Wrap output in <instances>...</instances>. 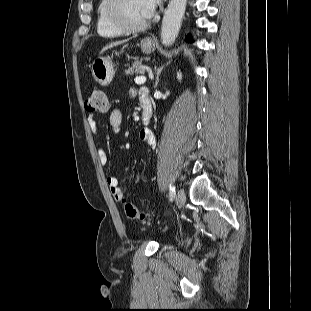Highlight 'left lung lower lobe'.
<instances>
[{
    "label": "left lung lower lobe",
    "mask_w": 311,
    "mask_h": 311,
    "mask_svg": "<svg viewBox=\"0 0 311 311\" xmlns=\"http://www.w3.org/2000/svg\"><path fill=\"white\" fill-rule=\"evenodd\" d=\"M186 41L192 42V39H191V37L189 35L187 36Z\"/></svg>",
    "instance_id": "left-lung-lower-lobe-1"
}]
</instances>
